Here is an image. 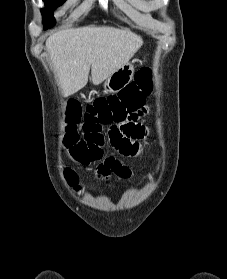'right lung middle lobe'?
<instances>
[{
    "instance_id": "1",
    "label": "right lung middle lobe",
    "mask_w": 227,
    "mask_h": 279,
    "mask_svg": "<svg viewBox=\"0 0 227 279\" xmlns=\"http://www.w3.org/2000/svg\"><path fill=\"white\" fill-rule=\"evenodd\" d=\"M46 4V9H42L43 15V23L45 24V28H50L54 25L55 19L53 17V8L56 6H60L65 0H43Z\"/></svg>"
}]
</instances>
